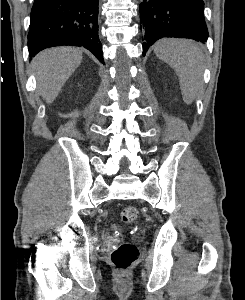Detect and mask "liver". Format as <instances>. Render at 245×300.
Returning a JSON list of instances; mask_svg holds the SVG:
<instances>
[{
    "label": "liver",
    "instance_id": "obj_1",
    "mask_svg": "<svg viewBox=\"0 0 245 300\" xmlns=\"http://www.w3.org/2000/svg\"><path fill=\"white\" fill-rule=\"evenodd\" d=\"M81 61L82 52L72 47L47 49L34 57L31 66L37 81V91L47 104L56 99Z\"/></svg>",
    "mask_w": 245,
    "mask_h": 300
}]
</instances>
